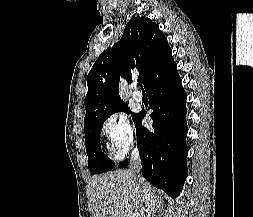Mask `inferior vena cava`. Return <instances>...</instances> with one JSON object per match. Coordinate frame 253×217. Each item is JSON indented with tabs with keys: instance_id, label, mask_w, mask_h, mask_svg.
Wrapping results in <instances>:
<instances>
[{
	"instance_id": "obj_1",
	"label": "inferior vena cava",
	"mask_w": 253,
	"mask_h": 217,
	"mask_svg": "<svg viewBox=\"0 0 253 217\" xmlns=\"http://www.w3.org/2000/svg\"><path fill=\"white\" fill-rule=\"evenodd\" d=\"M129 171L132 173L134 177L136 178L141 177V161L137 150H134L131 154ZM141 217H145V215L143 214Z\"/></svg>"
}]
</instances>
